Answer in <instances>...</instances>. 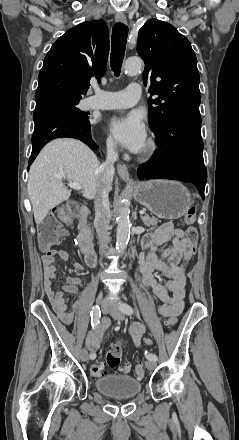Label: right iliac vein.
Returning <instances> with one entry per match:
<instances>
[{"instance_id": "obj_1", "label": "right iliac vein", "mask_w": 239, "mask_h": 440, "mask_svg": "<svg viewBox=\"0 0 239 440\" xmlns=\"http://www.w3.org/2000/svg\"><path fill=\"white\" fill-rule=\"evenodd\" d=\"M98 303H101V305H102V313H103V314L108 313V310H109V308H110V305L107 304V303H105V302H102V299H101V298L98 299ZM80 359H81L82 361H84V362L88 361V359H89V357H88V351H87L85 348H83V349L80 351Z\"/></svg>"}]
</instances>
